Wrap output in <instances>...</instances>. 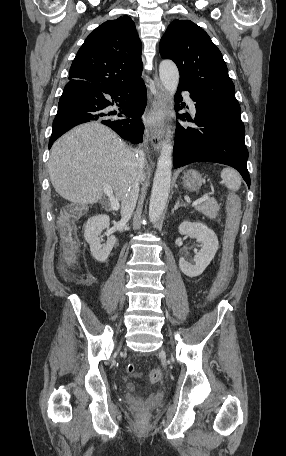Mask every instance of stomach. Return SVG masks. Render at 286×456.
Segmentation results:
<instances>
[{"instance_id":"1","label":"stomach","mask_w":286,"mask_h":456,"mask_svg":"<svg viewBox=\"0 0 286 456\" xmlns=\"http://www.w3.org/2000/svg\"><path fill=\"white\" fill-rule=\"evenodd\" d=\"M183 185L189 191H198L203 183V178L196 170L190 169L184 173Z\"/></svg>"}]
</instances>
